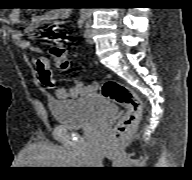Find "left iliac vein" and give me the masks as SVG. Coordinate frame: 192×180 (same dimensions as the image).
Returning <instances> with one entry per match:
<instances>
[{
  "instance_id": "obj_1",
  "label": "left iliac vein",
  "mask_w": 192,
  "mask_h": 180,
  "mask_svg": "<svg viewBox=\"0 0 192 180\" xmlns=\"http://www.w3.org/2000/svg\"><path fill=\"white\" fill-rule=\"evenodd\" d=\"M84 38L86 40V42L92 44L93 43V39H92V33H91V29H90V23H87L85 31H84Z\"/></svg>"
}]
</instances>
